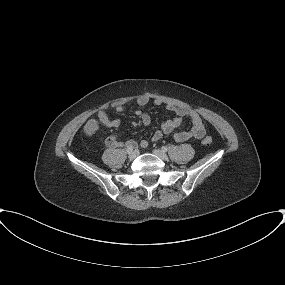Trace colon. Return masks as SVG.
Instances as JSON below:
<instances>
[{"instance_id": "1", "label": "colon", "mask_w": 285, "mask_h": 285, "mask_svg": "<svg viewBox=\"0 0 285 285\" xmlns=\"http://www.w3.org/2000/svg\"><path fill=\"white\" fill-rule=\"evenodd\" d=\"M212 143V139L210 137H206L203 139L204 145H210Z\"/></svg>"}]
</instances>
